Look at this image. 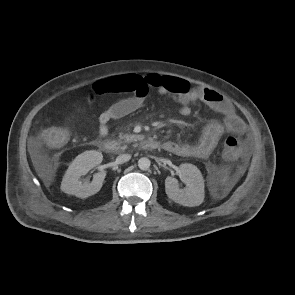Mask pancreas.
<instances>
[{
	"mask_svg": "<svg viewBox=\"0 0 295 295\" xmlns=\"http://www.w3.org/2000/svg\"><path fill=\"white\" fill-rule=\"evenodd\" d=\"M136 139V136L135 135H131V134H120L119 135V142L122 143V144H126V143H129V142H132Z\"/></svg>",
	"mask_w": 295,
	"mask_h": 295,
	"instance_id": "obj_1",
	"label": "pancreas"
}]
</instances>
